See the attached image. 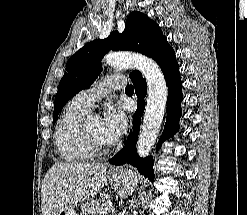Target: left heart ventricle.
<instances>
[{
  "label": "left heart ventricle",
  "mask_w": 247,
  "mask_h": 215,
  "mask_svg": "<svg viewBox=\"0 0 247 215\" xmlns=\"http://www.w3.org/2000/svg\"><path fill=\"white\" fill-rule=\"evenodd\" d=\"M86 128L90 131V133L101 143L108 144V141L103 135L102 126L100 120H93L87 122Z\"/></svg>",
  "instance_id": "left-heart-ventricle-1"
}]
</instances>
